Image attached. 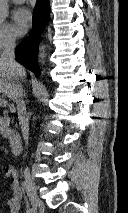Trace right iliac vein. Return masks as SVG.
<instances>
[{
    "label": "right iliac vein",
    "mask_w": 128,
    "mask_h": 213,
    "mask_svg": "<svg viewBox=\"0 0 128 213\" xmlns=\"http://www.w3.org/2000/svg\"><path fill=\"white\" fill-rule=\"evenodd\" d=\"M24 178H25L26 190L30 197L31 202L35 206H39L41 204V201L37 195V189H36L34 179L31 176L30 171L28 169L24 170Z\"/></svg>",
    "instance_id": "1"
}]
</instances>
